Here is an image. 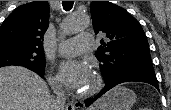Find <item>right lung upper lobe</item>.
<instances>
[{
    "label": "right lung upper lobe",
    "mask_w": 171,
    "mask_h": 110,
    "mask_svg": "<svg viewBox=\"0 0 171 110\" xmlns=\"http://www.w3.org/2000/svg\"><path fill=\"white\" fill-rule=\"evenodd\" d=\"M49 20L47 1H33L16 8L0 27V44L43 50L42 40Z\"/></svg>",
    "instance_id": "right-lung-upper-lobe-1"
}]
</instances>
